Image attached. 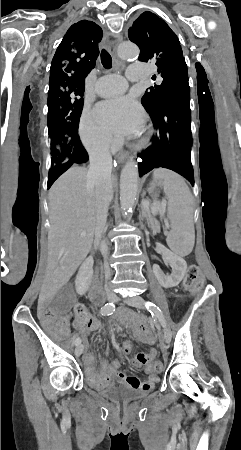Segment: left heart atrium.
<instances>
[{"label":"left heart atrium","mask_w":241,"mask_h":450,"mask_svg":"<svg viewBox=\"0 0 241 450\" xmlns=\"http://www.w3.org/2000/svg\"><path fill=\"white\" fill-rule=\"evenodd\" d=\"M95 120L109 132L117 136L129 137L144 122V113L131 97L118 98L115 102L103 101L93 112Z\"/></svg>","instance_id":"obj_1"}]
</instances>
